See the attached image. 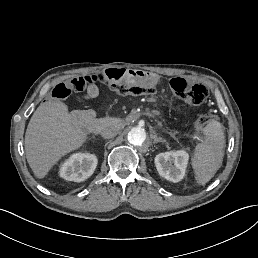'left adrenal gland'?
<instances>
[{"mask_svg": "<svg viewBox=\"0 0 258 258\" xmlns=\"http://www.w3.org/2000/svg\"><path fill=\"white\" fill-rule=\"evenodd\" d=\"M153 139H154V141H153L154 144H156L158 142H163V143L166 142L165 139H162L161 137H157V135H154Z\"/></svg>", "mask_w": 258, "mask_h": 258, "instance_id": "1", "label": "left adrenal gland"}]
</instances>
